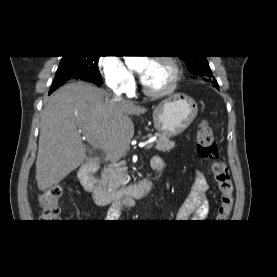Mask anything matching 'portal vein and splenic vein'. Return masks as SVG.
<instances>
[{"label":"portal vein and splenic vein","instance_id":"18ae733b","mask_svg":"<svg viewBox=\"0 0 277 277\" xmlns=\"http://www.w3.org/2000/svg\"><path fill=\"white\" fill-rule=\"evenodd\" d=\"M86 138H87V141L94 147V148H96V149H99L100 147H99V144L97 143V141L95 140V138H93L92 136H89V135H87L86 136ZM154 141H155V139L153 138V139H150L146 144H145V149H150V148H152L153 147V144H154Z\"/></svg>","mask_w":277,"mask_h":277}]
</instances>
